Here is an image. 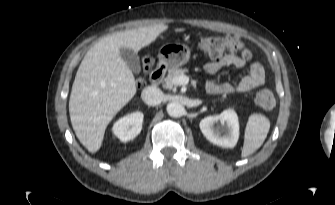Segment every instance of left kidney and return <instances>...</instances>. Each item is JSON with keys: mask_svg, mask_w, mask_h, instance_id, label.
I'll list each match as a JSON object with an SVG mask.
<instances>
[{"mask_svg": "<svg viewBox=\"0 0 335 205\" xmlns=\"http://www.w3.org/2000/svg\"><path fill=\"white\" fill-rule=\"evenodd\" d=\"M220 120L227 125L226 130L215 129L214 123ZM203 135L213 144L233 148L239 139L238 116L233 109H226L220 115L207 116L199 124Z\"/></svg>", "mask_w": 335, "mask_h": 205, "instance_id": "1", "label": "left kidney"}]
</instances>
